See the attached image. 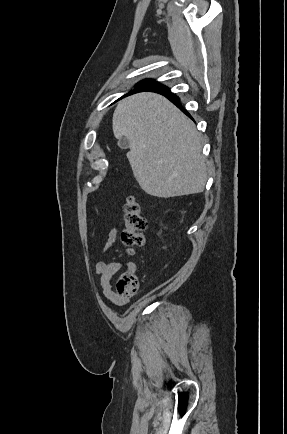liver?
<instances>
[{
  "label": "liver",
  "instance_id": "1",
  "mask_svg": "<svg viewBox=\"0 0 287 434\" xmlns=\"http://www.w3.org/2000/svg\"><path fill=\"white\" fill-rule=\"evenodd\" d=\"M114 136L129 140L133 174L147 194L169 198L204 190L207 172L193 122L164 96L139 93L113 113Z\"/></svg>",
  "mask_w": 287,
  "mask_h": 434
}]
</instances>
